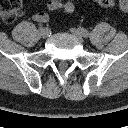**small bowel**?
Here are the masks:
<instances>
[{"mask_svg":"<svg viewBox=\"0 0 128 128\" xmlns=\"http://www.w3.org/2000/svg\"><path fill=\"white\" fill-rule=\"evenodd\" d=\"M63 7L62 0H49L47 2V11L38 12L33 15V19L40 23H45L50 18V13L55 12Z\"/></svg>","mask_w":128,"mask_h":128,"instance_id":"small-bowel-1","label":"small bowel"}]
</instances>
